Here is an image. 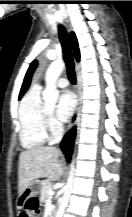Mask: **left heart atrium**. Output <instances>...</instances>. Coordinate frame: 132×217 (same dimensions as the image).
Returning <instances> with one entry per match:
<instances>
[{
  "mask_svg": "<svg viewBox=\"0 0 132 217\" xmlns=\"http://www.w3.org/2000/svg\"><path fill=\"white\" fill-rule=\"evenodd\" d=\"M76 108V98L70 91H64L60 95L59 102L56 109V116L60 121H67Z\"/></svg>",
  "mask_w": 132,
  "mask_h": 217,
  "instance_id": "39dd6f15",
  "label": "left heart atrium"
}]
</instances>
